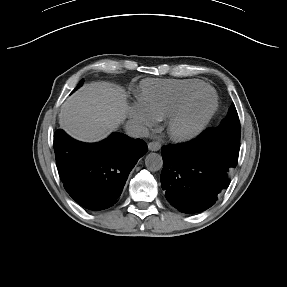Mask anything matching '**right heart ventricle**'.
Returning <instances> with one entry per match:
<instances>
[{"label": "right heart ventricle", "instance_id": "right-heart-ventricle-1", "mask_svg": "<svg viewBox=\"0 0 287 287\" xmlns=\"http://www.w3.org/2000/svg\"><path fill=\"white\" fill-rule=\"evenodd\" d=\"M206 86L200 80L146 79L138 93L141 105L155 120L168 118L190 92Z\"/></svg>", "mask_w": 287, "mask_h": 287}]
</instances>
